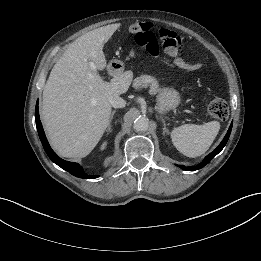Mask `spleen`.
<instances>
[{
  "instance_id": "3e777b00",
  "label": "spleen",
  "mask_w": 261,
  "mask_h": 261,
  "mask_svg": "<svg viewBox=\"0 0 261 261\" xmlns=\"http://www.w3.org/2000/svg\"><path fill=\"white\" fill-rule=\"evenodd\" d=\"M220 130V123L211 121L203 125L185 124L171 132L176 149L187 157L203 155L211 146Z\"/></svg>"
}]
</instances>
